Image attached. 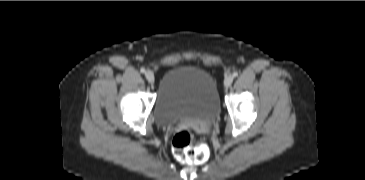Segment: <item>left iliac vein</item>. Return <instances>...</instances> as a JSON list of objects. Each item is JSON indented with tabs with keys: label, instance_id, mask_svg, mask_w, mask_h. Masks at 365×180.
Returning <instances> with one entry per match:
<instances>
[{
	"label": "left iliac vein",
	"instance_id": "left-iliac-vein-1",
	"mask_svg": "<svg viewBox=\"0 0 365 180\" xmlns=\"http://www.w3.org/2000/svg\"><path fill=\"white\" fill-rule=\"evenodd\" d=\"M233 82V76L232 75H228L225 77V80H224V85L226 87H229Z\"/></svg>",
	"mask_w": 365,
	"mask_h": 180
}]
</instances>
